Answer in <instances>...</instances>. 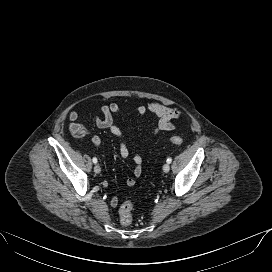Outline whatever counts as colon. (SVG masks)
I'll list each match as a JSON object with an SVG mask.
<instances>
[{
	"instance_id": "1",
	"label": "colon",
	"mask_w": 272,
	"mask_h": 272,
	"mask_svg": "<svg viewBox=\"0 0 272 272\" xmlns=\"http://www.w3.org/2000/svg\"><path fill=\"white\" fill-rule=\"evenodd\" d=\"M70 131L74 137L80 138L84 136L85 129L80 124H72L70 126ZM171 142L175 145H180L183 142V139L180 136H173L171 137ZM132 211H133V204L130 201L124 202L120 206L119 214H120V222L124 226H128L132 222Z\"/></svg>"
}]
</instances>
